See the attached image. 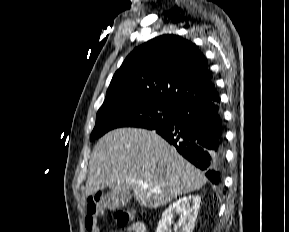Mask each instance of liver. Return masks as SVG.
Segmentation results:
<instances>
[{
	"mask_svg": "<svg viewBox=\"0 0 289 232\" xmlns=\"http://www.w3.org/2000/svg\"><path fill=\"white\" fill-rule=\"evenodd\" d=\"M142 183L148 188H143ZM205 183L204 174L155 131L119 128L105 134L95 145L85 194L93 195L105 187L132 190L142 206L158 208L199 190Z\"/></svg>",
	"mask_w": 289,
	"mask_h": 232,
	"instance_id": "6515ba94",
	"label": "liver"
}]
</instances>
